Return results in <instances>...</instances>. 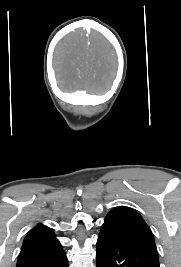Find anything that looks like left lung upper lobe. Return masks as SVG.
I'll return each instance as SVG.
<instances>
[{
	"label": "left lung upper lobe",
	"instance_id": "1",
	"mask_svg": "<svg viewBox=\"0 0 181 267\" xmlns=\"http://www.w3.org/2000/svg\"><path fill=\"white\" fill-rule=\"evenodd\" d=\"M103 226L124 232L157 250L151 229L140 214L131 208L124 206L116 207L108 213Z\"/></svg>",
	"mask_w": 181,
	"mask_h": 267
}]
</instances>
